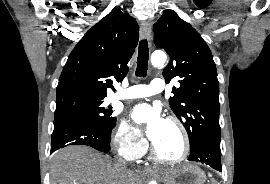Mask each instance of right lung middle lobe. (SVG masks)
Listing matches in <instances>:
<instances>
[{
  "label": "right lung middle lobe",
  "instance_id": "1",
  "mask_svg": "<svg viewBox=\"0 0 270 184\" xmlns=\"http://www.w3.org/2000/svg\"><path fill=\"white\" fill-rule=\"evenodd\" d=\"M104 98L84 95H67L56 98L55 117L75 115L87 119L103 131L111 133L116 125L112 110L103 106Z\"/></svg>",
  "mask_w": 270,
  "mask_h": 184
}]
</instances>
